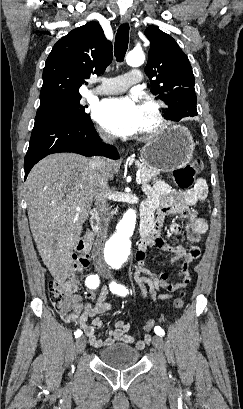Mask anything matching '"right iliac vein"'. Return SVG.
Returning <instances> with one entry per match:
<instances>
[{"label":"right iliac vein","instance_id":"63e3f726","mask_svg":"<svg viewBox=\"0 0 243 409\" xmlns=\"http://www.w3.org/2000/svg\"><path fill=\"white\" fill-rule=\"evenodd\" d=\"M86 347V339L84 337H80L76 340L75 349L77 353H82Z\"/></svg>","mask_w":243,"mask_h":409}]
</instances>
